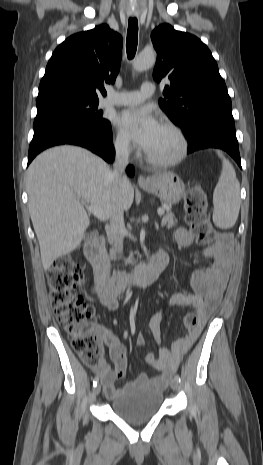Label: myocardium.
<instances>
[{"mask_svg": "<svg viewBox=\"0 0 263 465\" xmlns=\"http://www.w3.org/2000/svg\"><path fill=\"white\" fill-rule=\"evenodd\" d=\"M162 126L175 135L179 143L178 150L173 156L165 159H158L146 153V160L156 167H169L181 162L185 158L188 150V141L182 129L176 124L165 122Z\"/></svg>", "mask_w": 263, "mask_h": 465, "instance_id": "obj_1", "label": "myocardium"}]
</instances>
